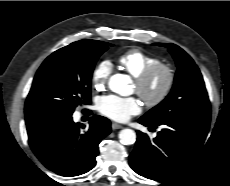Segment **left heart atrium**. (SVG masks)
<instances>
[{
	"label": "left heart atrium",
	"instance_id": "39dd6f15",
	"mask_svg": "<svg viewBox=\"0 0 230 186\" xmlns=\"http://www.w3.org/2000/svg\"><path fill=\"white\" fill-rule=\"evenodd\" d=\"M97 106L100 113L118 122H125L141 111L140 102L134 97L103 96Z\"/></svg>",
	"mask_w": 230,
	"mask_h": 186
}]
</instances>
